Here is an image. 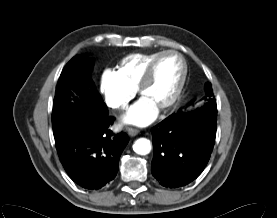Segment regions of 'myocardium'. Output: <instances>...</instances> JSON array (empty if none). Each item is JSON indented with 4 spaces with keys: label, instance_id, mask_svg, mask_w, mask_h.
Returning a JSON list of instances; mask_svg holds the SVG:
<instances>
[{
    "label": "myocardium",
    "instance_id": "myocardium-1",
    "mask_svg": "<svg viewBox=\"0 0 277 218\" xmlns=\"http://www.w3.org/2000/svg\"><path fill=\"white\" fill-rule=\"evenodd\" d=\"M167 55H175V56H177L180 59V61L182 63V74H181L179 83H178L174 93L170 97V99L159 107V109H161V110L170 108L180 98V95H181V93L183 91V88H184L185 83H186L187 75H188V64H187V61H186L185 57L181 53H179V52H177L175 50H165V51L160 52L158 55H156L151 60V62L147 66V68H146V70L144 72V75H143V77H142V79H141V81H140V83L138 85L139 93L142 94L143 91L145 90V88L151 82V80H152V78L154 76L155 69H156V66H157L158 62L163 57H165Z\"/></svg>",
    "mask_w": 277,
    "mask_h": 218
}]
</instances>
